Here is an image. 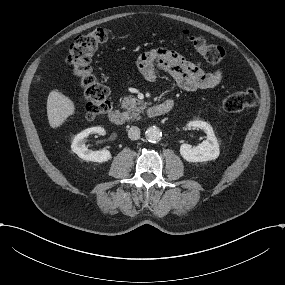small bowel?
Returning <instances> with one entry per match:
<instances>
[{"label":"small bowel","mask_w":285,"mask_h":285,"mask_svg":"<svg viewBox=\"0 0 285 285\" xmlns=\"http://www.w3.org/2000/svg\"><path fill=\"white\" fill-rule=\"evenodd\" d=\"M138 67L149 81H154L157 70H162L171 75L179 87L189 92L214 88L223 78L220 69L208 71L202 64L191 62L177 51L166 48L141 54Z\"/></svg>","instance_id":"c3829d8e"}]
</instances>
